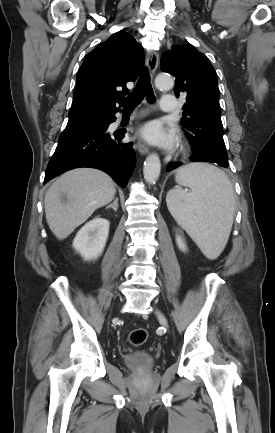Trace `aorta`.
Masks as SVG:
<instances>
[{
    "label": "aorta",
    "mask_w": 275,
    "mask_h": 433,
    "mask_svg": "<svg viewBox=\"0 0 275 433\" xmlns=\"http://www.w3.org/2000/svg\"><path fill=\"white\" fill-rule=\"evenodd\" d=\"M155 85L159 89H171L174 85V80L169 74H159L155 78ZM160 171L161 163L158 155L150 154L143 168L145 180L150 184H154L160 176Z\"/></svg>",
    "instance_id": "obj_1"
}]
</instances>
